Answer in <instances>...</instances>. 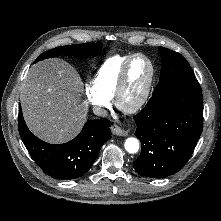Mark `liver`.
<instances>
[{
	"mask_svg": "<svg viewBox=\"0 0 221 221\" xmlns=\"http://www.w3.org/2000/svg\"><path fill=\"white\" fill-rule=\"evenodd\" d=\"M83 82L66 61L54 58L33 65L20 91L23 116L38 138L52 144L73 139L86 122Z\"/></svg>",
	"mask_w": 221,
	"mask_h": 221,
	"instance_id": "liver-1",
	"label": "liver"
}]
</instances>
